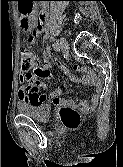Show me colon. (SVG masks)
Returning a JSON list of instances; mask_svg holds the SVG:
<instances>
[{"mask_svg": "<svg viewBox=\"0 0 123 167\" xmlns=\"http://www.w3.org/2000/svg\"><path fill=\"white\" fill-rule=\"evenodd\" d=\"M39 20L43 21V15L40 17ZM20 58H21L22 70L29 71L37 67V63H38L37 57L32 50L27 48L22 49ZM60 117L64 126L69 129H74L78 127L80 123L79 114L70 108L62 109L60 112Z\"/></svg>", "mask_w": 123, "mask_h": 167, "instance_id": "colon-1", "label": "colon"}]
</instances>
